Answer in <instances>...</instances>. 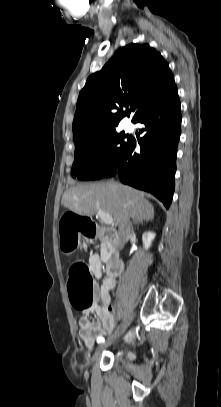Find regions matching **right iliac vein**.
I'll use <instances>...</instances> for the list:
<instances>
[{
	"instance_id": "right-iliac-vein-1",
	"label": "right iliac vein",
	"mask_w": 221,
	"mask_h": 407,
	"mask_svg": "<svg viewBox=\"0 0 221 407\" xmlns=\"http://www.w3.org/2000/svg\"><path fill=\"white\" fill-rule=\"evenodd\" d=\"M132 317H133V313H132V312H129V313L125 316L124 321H123V323H122V327H121L120 331L118 332V334L115 333L114 335H111L110 337L107 338V340H106L105 342H103V343H101V344L99 345V347H98L97 350L95 351V354H94V356H93V360H95V359L99 356V354H100V352L103 350V348H105V347H107V346H110V345L116 340V338H117L118 335H121V334H123V333L126 331V329L128 328V326L130 325V322H131V320H132Z\"/></svg>"
}]
</instances>
